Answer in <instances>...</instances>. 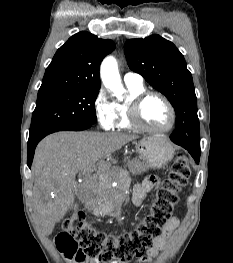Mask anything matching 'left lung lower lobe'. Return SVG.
Segmentation results:
<instances>
[{"mask_svg": "<svg viewBox=\"0 0 233 263\" xmlns=\"http://www.w3.org/2000/svg\"><path fill=\"white\" fill-rule=\"evenodd\" d=\"M174 143H176V142H174ZM176 144H178V145L184 147L186 150H188L189 153L191 154V156L196 161V163H199V158H200L201 151H200V149L197 146H195V145H193L191 143H181V142H178Z\"/></svg>", "mask_w": 233, "mask_h": 263, "instance_id": "obj_1", "label": "left lung lower lobe"}]
</instances>
